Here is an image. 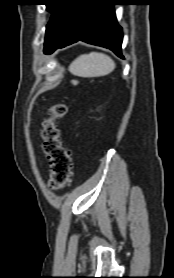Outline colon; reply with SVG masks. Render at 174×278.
Segmentation results:
<instances>
[{
    "label": "colon",
    "mask_w": 174,
    "mask_h": 278,
    "mask_svg": "<svg viewBox=\"0 0 174 278\" xmlns=\"http://www.w3.org/2000/svg\"><path fill=\"white\" fill-rule=\"evenodd\" d=\"M66 113L65 104H54L49 108L42 125L43 150L49 163V185L53 189H61L68 185L71 176V152L64 146L57 125Z\"/></svg>",
    "instance_id": "obj_1"
}]
</instances>
